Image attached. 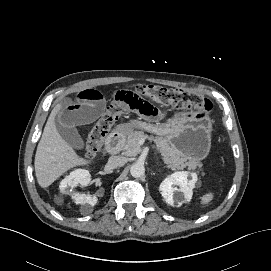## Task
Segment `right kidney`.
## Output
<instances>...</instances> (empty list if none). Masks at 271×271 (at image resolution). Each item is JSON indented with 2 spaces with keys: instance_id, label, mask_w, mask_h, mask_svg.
Instances as JSON below:
<instances>
[{
  "instance_id": "1",
  "label": "right kidney",
  "mask_w": 271,
  "mask_h": 271,
  "mask_svg": "<svg viewBox=\"0 0 271 271\" xmlns=\"http://www.w3.org/2000/svg\"><path fill=\"white\" fill-rule=\"evenodd\" d=\"M90 173L85 169H76L70 173V175L66 176L60 183V192L62 194H70L73 201L76 204L85 205L89 204L90 206H94L97 203V197L94 195H86L74 192L72 189L77 184L86 185L90 181ZM71 188L70 190L68 188Z\"/></svg>"
}]
</instances>
